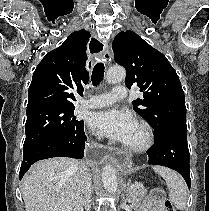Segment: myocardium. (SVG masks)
I'll return each mask as SVG.
<instances>
[{
	"label": "myocardium",
	"instance_id": "obj_1",
	"mask_svg": "<svg viewBox=\"0 0 209 211\" xmlns=\"http://www.w3.org/2000/svg\"><path fill=\"white\" fill-rule=\"evenodd\" d=\"M136 125L141 131V139L136 144H124L123 147L125 150L131 153H142L147 151L154 142V133L152 127L144 120L136 121Z\"/></svg>",
	"mask_w": 209,
	"mask_h": 211
}]
</instances>
